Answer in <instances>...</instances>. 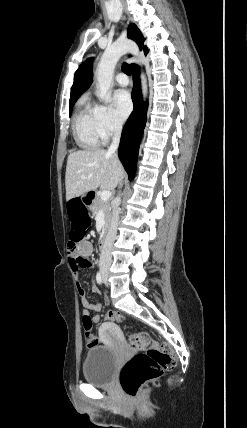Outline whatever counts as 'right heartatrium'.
I'll use <instances>...</instances> for the list:
<instances>
[{
	"label": "right heart atrium",
	"mask_w": 247,
	"mask_h": 428,
	"mask_svg": "<svg viewBox=\"0 0 247 428\" xmlns=\"http://www.w3.org/2000/svg\"><path fill=\"white\" fill-rule=\"evenodd\" d=\"M94 113L97 131L102 141H107L121 131L122 124L109 106L98 104L94 108Z\"/></svg>",
	"instance_id": "1"
}]
</instances>
